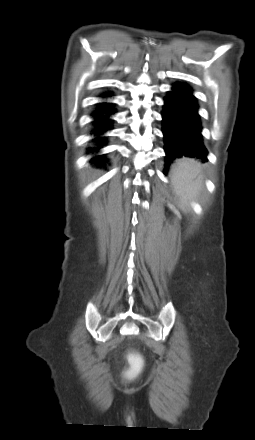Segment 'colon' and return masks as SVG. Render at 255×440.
I'll list each match as a JSON object with an SVG mask.
<instances>
[{
    "mask_svg": "<svg viewBox=\"0 0 255 440\" xmlns=\"http://www.w3.org/2000/svg\"><path fill=\"white\" fill-rule=\"evenodd\" d=\"M128 358L132 362V367L129 370V375L133 376V375L137 374L140 371L142 362H141V359H140L139 355L137 353H134V352L130 353L128 355Z\"/></svg>",
    "mask_w": 255,
    "mask_h": 440,
    "instance_id": "colon-1",
    "label": "colon"
}]
</instances>
